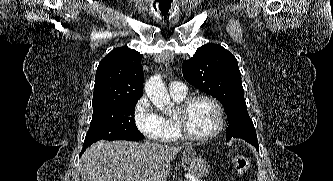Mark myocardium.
I'll return each mask as SVG.
<instances>
[{
	"mask_svg": "<svg viewBox=\"0 0 333 181\" xmlns=\"http://www.w3.org/2000/svg\"><path fill=\"white\" fill-rule=\"evenodd\" d=\"M199 100H206L210 102L214 106L218 116V124L216 129L210 134L205 136H197L193 134L189 130L186 123V114L188 110L195 102ZM173 117L179 127L181 135L188 140L197 141V142H206L215 138L223 130L225 123L224 111L221 103L215 97L206 94L195 95L184 99L181 103H179Z\"/></svg>",
	"mask_w": 333,
	"mask_h": 181,
	"instance_id": "obj_1",
	"label": "myocardium"
}]
</instances>
